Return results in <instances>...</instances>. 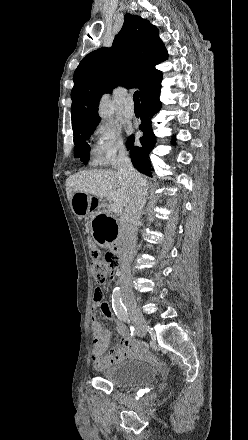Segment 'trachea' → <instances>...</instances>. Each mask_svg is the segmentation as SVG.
Returning a JSON list of instances; mask_svg holds the SVG:
<instances>
[{
	"instance_id": "obj_1",
	"label": "trachea",
	"mask_w": 248,
	"mask_h": 440,
	"mask_svg": "<svg viewBox=\"0 0 248 440\" xmlns=\"http://www.w3.org/2000/svg\"><path fill=\"white\" fill-rule=\"evenodd\" d=\"M133 100H134V106L140 107V100H139V92L138 91H136L134 93Z\"/></svg>"
}]
</instances>
